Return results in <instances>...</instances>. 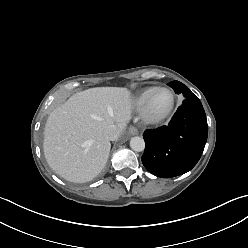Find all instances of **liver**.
Masks as SVG:
<instances>
[{"label":"liver","mask_w":248,"mask_h":248,"mask_svg":"<svg viewBox=\"0 0 248 248\" xmlns=\"http://www.w3.org/2000/svg\"><path fill=\"white\" fill-rule=\"evenodd\" d=\"M131 113L127 88L96 87L74 94L47 119L43 150L49 166L68 181L92 180L109 157L104 129L115 125L122 132Z\"/></svg>","instance_id":"liver-1"}]
</instances>
